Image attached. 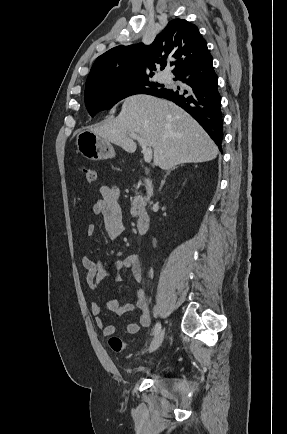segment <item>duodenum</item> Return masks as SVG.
I'll return each instance as SVG.
<instances>
[{"label":"duodenum","instance_id":"duodenum-1","mask_svg":"<svg viewBox=\"0 0 287 434\" xmlns=\"http://www.w3.org/2000/svg\"><path fill=\"white\" fill-rule=\"evenodd\" d=\"M141 178L145 184L147 196H152L153 188H152L151 180L145 175H142ZM149 225H150V216L145 213L141 214L137 219L138 233L140 235H144L148 231Z\"/></svg>","mask_w":287,"mask_h":434}]
</instances>
